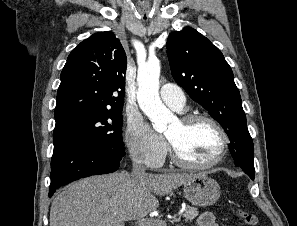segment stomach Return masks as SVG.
Returning <instances> with one entry per match:
<instances>
[{
  "label": "stomach",
  "instance_id": "obj_1",
  "mask_svg": "<svg viewBox=\"0 0 297 226\" xmlns=\"http://www.w3.org/2000/svg\"><path fill=\"white\" fill-rule=\"evenodd\" d=\"M183 193L185 198L196 206H210L220 196V187L216 180L207 174H199L184 183Z\"/></svg>",
  "mask_w": 297,
  "mask_h": 226
}]
</instances>
